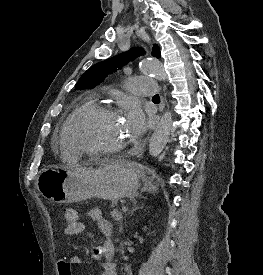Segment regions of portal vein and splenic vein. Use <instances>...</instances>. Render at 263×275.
I'll return each instance as SVG.
<instances>
[{
	"label": "portal vein and splenic vein",
	"instance_id": "1",
	"mask_svg": "<svg viewBox=\"0 0 263 275\" xmlns=\"http://www.w3.org/2000/svg\"><path fill=\"white\" fill-rule=\"evenodd\" d=\"M123 212H126L128 209L126 206H123L122 209H121Z\"/></svg>",
	"mask_w": 263,
	"mask_h": 275
}]
</instances>
